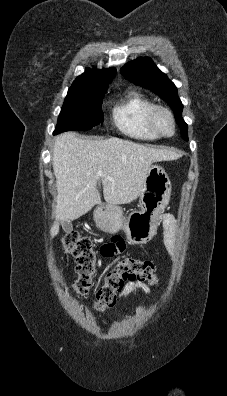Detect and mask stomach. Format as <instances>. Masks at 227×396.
Here are the masks:
<instances>
[{
    "instance_id": "stomach-1",
    "label": "stomach",
    "mask_w": 227,
    "mask_h": 396,
    "mask_svg": "<svg viewBox=\"0 0 227 396\" xmlns=\"http://www.w3.org/2000/svg\"><path fill=\"white\" fill-rule=\"evenodd\" d=\"M171 195V182L165 170L151 164L146 171L139 204L140 210L123 216L121 207L114 204H100L93 213L94 221L100 230L116 233L124 230L131 244H144L156 234L159 216L168 204Z\"/></svg>"
}]
</instances>
